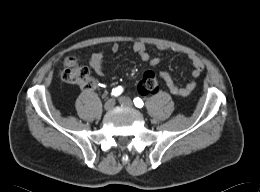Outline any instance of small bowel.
I'll return each mask as SVG.
<instances>
[{"label": "small bowel", "mask_w": 260, "mask_h": 192, "mask_svg": "<svg viewBox=\"0 0 260 192\" xmlns=\"http://www.w3.org/2000/svg\"><path fill=\"white\" fill-rule=\"evenodd\" d=\"M119 45L117 43H113L111 45V51L113 53H117L119 51ZM133 51L139 56V58L143 61L148 63L151 66H155L159 64V58H153L150 56L146 49V45L142 41H136L133 44ZM103 52H96L92 54L90 58V66L92 69L100 76L104 75V66H103ZM192 63V71L191 76L193 78H197L204 70V63L196 56L189 57ZM154 77H159L167 86L170 93L179 96V97H186L191 95L194 90L197 88V82L191 81L184 86H178L173 77L168 72H161L159 75L154 74L153 72H147L144 78L138 84V90L141 94H149L151 92V84L150 81Z\"/></svg>", "instance_id": "small-bowel-1"}]
</instances>
